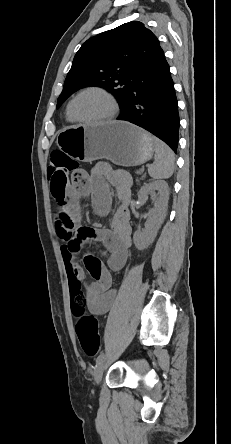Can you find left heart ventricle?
<instances>
[{
  "mask_svg": "<svg viewBox=\"0 0 231 444\" xmlns=\"http://www.w3.org/2000/svg\"><path fill=\"white\" fill-rule=\"evenodd\" d=\"M76 115L85 120H96L110 113V105L105 96L90 91L78 97L74 104Z\"/></svg>",
  "mask_w": 231,
  "mask_h": 444,
  "instance_id": "b2bd125f",
  "label": "left heart ventricle"
}]
</instances>
